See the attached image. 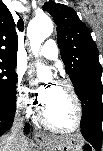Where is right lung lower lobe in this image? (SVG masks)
<instances>
[{
  "label": "right lung lower lobe",
  "mask_w": 103,
  "mask_h": 151,
  "mask_svg": "<svg viewBox=\"0 0 103 151\" xmlns=\"http://www.w3.org/2000/svg\"><path fill=\"white\" fill-rule=\"evenodd\" d=\"M15 107H11L9 105H3L0 103V135H2L5 131H7L13 121L15 116ZM30 130L29 124L25 126V133H28Z\"/></svg>",
  "instance_id": "1"
}]
</instances>
